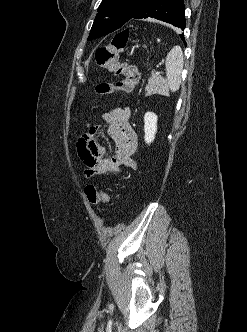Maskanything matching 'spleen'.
Returning <instances> with one entry per match:
<instances>
[{
    "instance_id": "obj_1",
    "label": "spleen",
    "mask_w": 247,
    "mask_h": 332,
    "mask_svg": "<svg viewBox=\"0 0 247 332\" xmlns=\"http://www.w3.org/2000/svg\"><path fill=\"white\" fill-rule=\"evenodd\" d=\"M166 83L163 88H159L158 93L168 95L169 90L175 92L181 84V73L183 70V52L180 46H174L167 54L165 60Z\"/></svg>"
}]
</instances>
